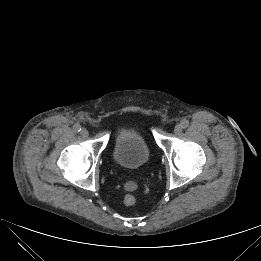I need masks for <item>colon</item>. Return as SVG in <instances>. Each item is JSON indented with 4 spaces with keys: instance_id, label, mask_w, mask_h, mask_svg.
I'll return each instance as SVG.
<instances>
[{
    "instance_id": "colon-1",
    "label": "colon",
    "mask_w": 261,
    "mask_h": 261,
    "mask_svg": "<svg viewBox=\"0 0 261 261\" xmlns=\"http://www.w3.org/2000/svg\"><path fill=\"white\" fill-rule=\"evenodd\" d=\"M135 202H136V198L131 192H128L124 195L123 203L126 206H132L135 204Z\"/></svg>"
}]
</instances>
